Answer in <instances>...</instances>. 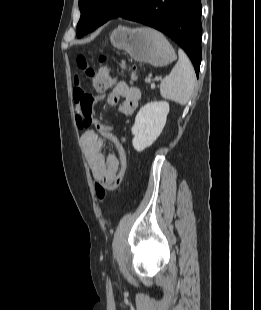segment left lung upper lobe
<instances>
[{"mask_svg":"<svg viewBox=\"0 0 261 310\" xmlns=\"http://www.w3.org/2000/svg\"><path fill=\"white\" fill-rule=\"evenodd\" d=\"M133 0H79L81 17L77 25V37L90 32L95 24L102 25L110 19L126 14Z\"/></svg>","mask_w":261,"mask_h":310,"instance_id":"5c2ea615","label":"left lung upper lobe"}]
</instances>
